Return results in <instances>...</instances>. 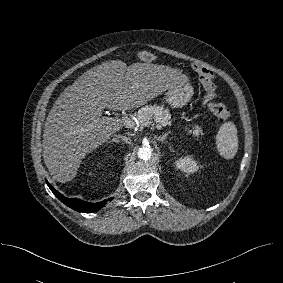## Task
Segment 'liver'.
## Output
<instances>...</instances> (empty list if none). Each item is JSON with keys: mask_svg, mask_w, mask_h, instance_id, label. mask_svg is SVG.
Masks as SVG:
<instances>
[{"mask_svg": "<svg viewBox=\"0 0 283 283\" xmlns=\"http://www.w3.org/2000/svg\"><path fill=\"white\" fill-rule=\"evenodd\" d=\"M182 80L168 66L127 67L120 60L86 71L60 94L45 122L43 159L52 178L63 183L72 180L82 159L122 129L119 121L102 116L103 109L137 108Z\"/></svg>", "mask_w": 283, "mask_h": 283, "instance_id": "6515ba94", "label": "liver"}]
</instances>
